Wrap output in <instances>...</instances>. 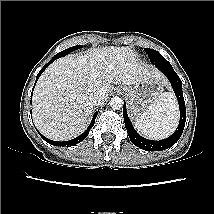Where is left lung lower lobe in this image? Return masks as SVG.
I'll use <instances>...</instances> for the list:
<instances>
[{
    "mask_svg": "<svg viewBox=\"0 0 214 214\" xmlns=\"http://www.w3.org/2000/svg\"><path fill=\"white\" fill-rule=\"evenodd\" d=\"M158 69L168 78V80L170 81L173 87V90L177 97L179 108H180V121L176 131L167 139L159 140V141L148 140L140 136L135 131L134 127L130 122V119L128 118L127 111H126V104L124 102L123 117L125 121V127L127 129L130 140L134 145L146 151H159V150H165L167 148L172 147L181 137L182 132L184 130L185 122H186L185 101H184L183 92H182V82L179 76L173 70L172 66L158 67Z\"/></svg>",
    "mask_w": 214,
    "mask_h": 214,
    "instance_id": "1",
    "label": "left lung lower lobe"
}]
</instances>
